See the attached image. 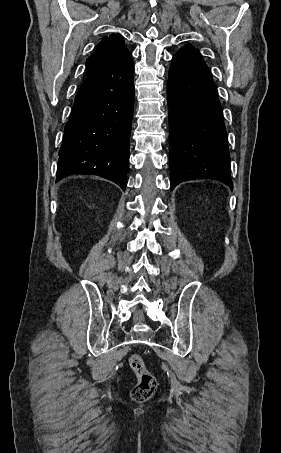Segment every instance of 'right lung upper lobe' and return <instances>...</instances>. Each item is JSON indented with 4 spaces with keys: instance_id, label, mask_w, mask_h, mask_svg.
<instances>
[{
    "instance_id": "1",
    "label": "right lung upper lobe",
    "mask_w": 281,
    "mask_h": 453,
    "mask_svg": "<svg viewBox=\"0 0 281 453\" xmlns=\"http://www.w3.org/2000/svg\"><path fill=\"white\" fill-rule=\"evenodd\" d=\"M127 52L122 36L113 34L105 37L86 61L87 75L106 68Z\"/></svg>"
}]
</instances>
